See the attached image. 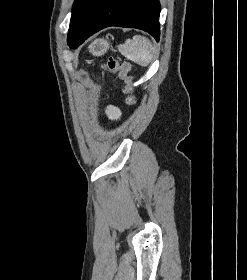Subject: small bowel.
I'll return each mask as SVG.
<instances>
[{"label": "small bowel", "mask_w": 247, "mask_h": 280, "mask_svg": "<svg viewBox=\"0 0 247 280\" xmlns=\"http://www.w3.org/2000/svg\"><path fill=\"white\" fill-rule=\"evenodd\" d=\"M107 114L111 119L117 120L119 119L121 113L120 110L114 106H110L107 108Z\"/></svg>", "instance_id": "obj_1"}]
</instances>
